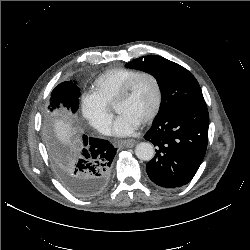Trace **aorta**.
I'll return each mask as SVG.
<instances>
[{
	"label": "aorta",
	"mask_w": 250,
	"mask_h": 250,
	"mask_svg": "<svg viewBox=\"0 0 250 250\" xmlns=\"http://www.w3.org/2000/svg\"><path fill=\"white\" fill-rule=\"evenodd\" d=\"M135 154L139 159L149 161L154 157V147L148 142H141L136 145Z\"/></svg>",
	"instance_id": "1"
}]
</instances>
